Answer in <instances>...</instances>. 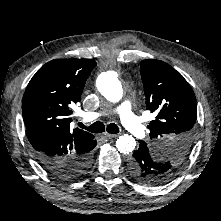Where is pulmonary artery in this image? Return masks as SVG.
Masks as SVG:
<instances>
[{
	"label": "pulmonary artery",
	"instance_id": "pulmonary-artery-1",
	"mask_svg": "<svg viewBox=\"0 0 221 221\" xmlns=\"http://www.w3.org/2000/svg\"><path fill=\"white\" fill-rule=\"evenodd\" d=\"M121 120L125 127L137 137H144L146 134L145 126L141 120L133 113L132 105L129 101H124L118 108ZM100 117L99 113H88L84 115L86 121H94Z\"/></svg>",
	"mask_w": 221,
	"mask_h": 221
}]
</instances>
